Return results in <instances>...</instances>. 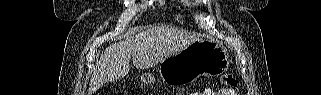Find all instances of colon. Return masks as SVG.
<instances>
[{"label":"colon","instance_id":"obj_1","mask_svg":"<svg viewBox=\"0 0 321 95\" xmlns=\"http://www.w3.org/2000/svg\"><path fill=\"white\" fill-rule=\"evenodd\" d=\"M221 83L228 87L237 86V79L231 74H224L221 76Z\"/></svg>","mask_w":321,"mask_h":95}]
</instances>
